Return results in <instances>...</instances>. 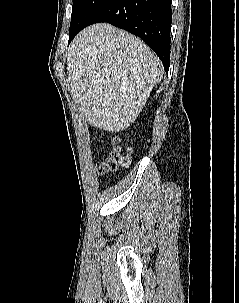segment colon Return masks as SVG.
I'll return each mask as SVG.
<instances>
[{
  "instance_id": "1",
  "label": "colon",
  "mask_w": 239,
  "mask_h": 303,
  "mask_svg": "<svg viewBox=\"0 0 239 303\" xmlns=\"http://www.w3.org/2000/svg\"><path fill=\"white\" fill-rule=\"evenodd\" d=\"M114 143V149L109 157L99 165L98 170L100 174L117 172L126 168L130 163V150L121 146L122 140L120 139H115Z\"/></svg>"
}]
</instances>
